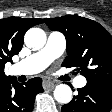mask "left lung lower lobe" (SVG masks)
Masks as SVG:
<instances>
[{
  "label": "left lung lower lobe",
  "mask_w": 112,
  "mask_h": 112,
  "mask_svg": "<svg viewBox=\"0 0 112 112\" xmlns=\"http://www.w3.org/2000/svg\"><path fill=\"white\" fill-rule=\"evenodd\" d=\"M112 108V85L87 82L78 89V95L63 105L62 112H110Z\"/></svg>",
  "instance_id": "left-lung-lower-lobe-1"
}]
</instances>
